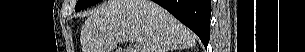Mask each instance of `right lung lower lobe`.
<instances>
[{"mask_svg":"<svg viewBox=\"0 0 305 52\" xmlns=\"http://www.w3.org/2000/svg\"><path fill=\"white\" fill-rule=\"evenodd\" d=\"M195 32L207 47L210 38L211 0H152Z\"/></svg>","mask_w":305,"mask_h":52,"instance_id":"right-lung-lower-lobe-1","label":"right lung lower lobe"}]
</instances>
